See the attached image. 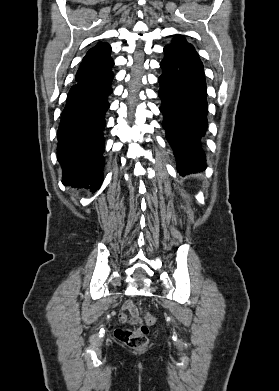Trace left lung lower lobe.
<instances>
[{
	"instance_id": "0a47b994",
	"label": "left lung lower lobe",
	"mask_w": 279,
	"mask_h": 391,
	"mask_svg": "<svg viewBox=\"0 0 279 391\" xmlns=\"http://www.w3.org/2000/svg\"><path fill=\"white\" fill-rule=\"evenodd\" d=\"M163 69L158 81L162 126L177 160L180 174L206 168L201 138L208 121L206 81L203 64L187 52L165 47Z\"/></svg>"
}]
</instances>
